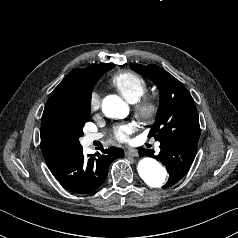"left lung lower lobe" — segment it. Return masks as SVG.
<instances>
[{
    "instance_id": "1",
    "label": "left lung lower lobe",
    "mask_w": 238,
    "mask_h": 238,
    "mask_svg": "<svg viewBox=\"0 0 238 238\" xmlns=\"http://www.w3.org/2000/svg\"><path fill=\"white\" fill-rule=\"evenodd\" d=\"M198 142L192 141H163L160 142L161 152L154 156L151 150H140L139 154L155 157L166 167L169 179L164 188L176 184L189 171L196 153Z\"/></svg>"
}]
</instances>
